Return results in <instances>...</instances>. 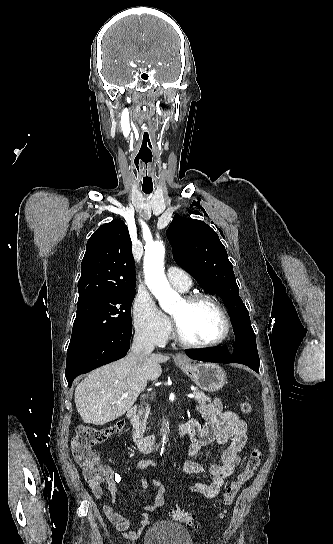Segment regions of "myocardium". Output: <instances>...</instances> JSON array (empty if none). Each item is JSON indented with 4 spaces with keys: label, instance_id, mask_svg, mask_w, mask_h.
Instances as JSON below:
<instances>
[{
    "label": "myocardium",
    "instance_id": "myocardium-1",
    "mask_svg": "<svg viewBox=\"0 0 333 544\" xmlns=\"http://www.w3.org/2000/svg\"><path fill=\"white\" fill-rule=\"evenodd\" d=\"M183 301L188 306H193V305H196V304H198L200 302H204V301L212 303L213 305H215L217 307V309L219 310V312H220V314H221V316L223 318L224 328H223L222 334L217 339H215L213 341H210V342H206V343H196V342H193V341L187 339L183 335V333L181 332L177 322L173 318V320H174V336H175L176 340L181 345H183L185 347H188V348H194V349H207V348H212V347L220 345L221 343H223L228 338V336L230 334V330H231V321H230V317H229V314L227 312V309L225 308V306H224V304L222 303L221 300H219L215 296H212V295H209V294L198 293V294H191V295L186 296Z\"/></svg>",
    "mask_w": 333,
    "mask_h": 544
}]
</instances>
